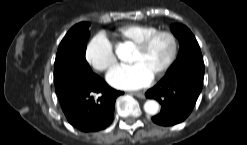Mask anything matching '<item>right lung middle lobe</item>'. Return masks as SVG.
Returning <instances> with one entry per match:
<instances>
[{
	"instance_id": "dd1d6c3e",
	"label": "right lung middle lobe",
	"mask_w": 247,
	"mask_h": 145,
	"mask_svg": "<svg viewBox=\"0 0 247 145\" xmlns=\"http://www.w3.org/2000/svg\"><path fill=\"white\" fill-rule=\"evenodd\" d=\"M89 26L86 22L76 24L61 41L54 63V79L76 70L92 72L85 59Z\"/></svg>"
}]
</instances>
